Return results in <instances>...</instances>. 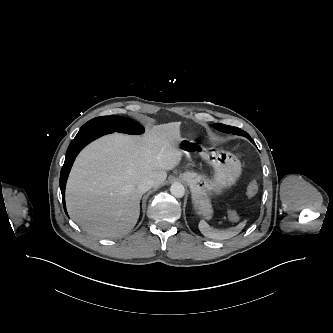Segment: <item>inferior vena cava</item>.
<instances>
[{
  "instance_id": "1",
  "label": "inferior vena cava",
  "mask_w": 333,
  "mask_h": 333,
  "mask_svg": "<svg viewBox=\"0 0 333 333\" xmlns=\"http://www.w3.org/2000/svg\"><path fill=\"white\" fill-rule=\"evenodd\" d=\"M153 187V181L149 178L142 179L138 184V190L142 193L150 190Z\"/></svg>"
}]
</instances>
